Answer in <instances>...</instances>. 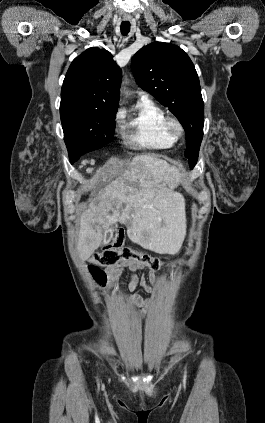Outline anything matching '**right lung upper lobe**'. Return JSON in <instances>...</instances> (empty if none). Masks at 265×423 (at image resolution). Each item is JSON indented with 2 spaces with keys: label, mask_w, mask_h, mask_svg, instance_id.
I'll list each match as a JSON object with an SVG mask.
<instances>
[{
  "label": "right lung upper lobe",
  "mask_w": 265,
  "mask_h": 423,
  "mask_svg": "<svg viewBox=\"0 0 265 423\" xmlns=\"http://www.w3.org/2000/svg\"><path fill=\"white\" fill-rule=\"evenodd\" d=\"M121 75L110 52L89 48L71 63L61 90V104L78 103L117 111Z\"/></svg>",
  "instance_id": "right-lung-upper-lobe-1"
}]
</instances>
